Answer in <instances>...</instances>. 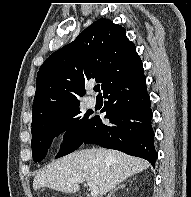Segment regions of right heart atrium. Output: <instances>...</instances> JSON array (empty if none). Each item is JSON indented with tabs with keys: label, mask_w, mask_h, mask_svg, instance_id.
I'll return each mask as SVG.
<instances>
[{
	"label": "right heart atrium",
	"mask_w": 191,
	"mask_h": 197,
	"mask_svg": "<svg viewBox=\"0 0 191 197\" xmlns=\"http://www.w3.org/2000/svg\"><path fill=\"white\" fill-rule=\"evenodd\" d=\"M71 134L72 129L70 127H65L60 131L59 136L62 140H68L71 137Z\"/></svg>",
	"instance_id": "1"
}]
</instances>
